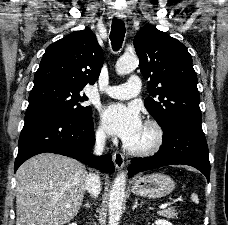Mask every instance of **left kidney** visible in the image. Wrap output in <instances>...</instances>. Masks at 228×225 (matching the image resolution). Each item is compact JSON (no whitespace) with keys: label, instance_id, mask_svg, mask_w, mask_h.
I'll return each instance as SVG.
<instances>
[{"label":"left kidney","instance_id":"obj_1","mask_svg":"<svg viewBox=\"0 0 228 225\" xmlns=\"http://www.w3.org/2000/svg\"><path fill=\"white\" fill-rule=\"evenodd\" d=\"M155 225H172V223H168V221H164V219H158V221H155Z\"/></svg>","mask_w":228,"mask_h":225}]
</instances>
